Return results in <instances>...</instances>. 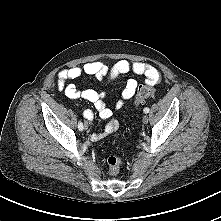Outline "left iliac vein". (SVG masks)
Segmentation results:
<instances>
[{
    "instance_id": "1",
    "label": "left iliac vein",
    "mask_w": 221,
    "mask_h": 221,
    "mask_svg": "<svg viewBox=\"0 0 221 221\" xmlns=\"http://www.w3.org/2000/svg\"><path fill=\"white\" fill-rule=\"evenodd\" d=\"M148 121H149L148 116H147V115H144L143 118H142V122H143L144 124H147Z\"/></svg>"
}]
</instances>
